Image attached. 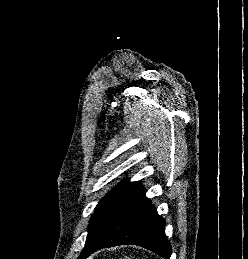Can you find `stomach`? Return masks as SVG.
<instances>
[{
    "instance_id": "stomach-1",
    "label": "stomach",
    "mask_w": 248,
    "mask_h": 259,
    "mask_svg": "<svg viewBox=\"0 0 248 259\" xmlns=\"http://www.w3.org/2000/svg\"><path fill=\"white\" fill-rule=\"evenodd\" d=\"M125 259H131V258H129V257L126 256Z\"/></svg>"
}]
</instances>
